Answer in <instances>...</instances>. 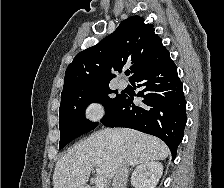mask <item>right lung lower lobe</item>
<instances>
[{
  "label": "right lung lower lobe",
  "instance_id": "98d812e1",
  "mask_svg": "<svg viewBox=\"0 0 224 188\" xmlns=\"http://www.w3.org/2000/svg\"><path fill=\"white\" fill-rule=\"evenodd\" d=\"M143 104H133L134 97L122 101L102 121L108 127L132 128L159 137L169 147L172 159L183 139L186 125V101L177 67L167 53L158 63L131 79Z\"/></svg>",
  "mask_w": 224,
  "mask_h": 188
}]
</instances>
